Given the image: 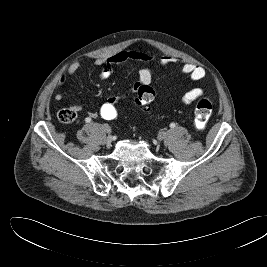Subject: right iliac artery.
I'll list each match as a JSON object with an SVG mask.
<instances>
[{
  "instance_id": "1",
  "label": "right iliac artery",
  "mask_w": 267,
  "mask_h": 267,
  "mask_svg": "<svg viewBox=\"0 0 267 267\" xmlns=\"http://www.w3.org/2000/svg\"><path fill=\"white\" fill-rule=\"evenodd\" d=\"M91 121V118H86V122H90ZM110 132H111V129H110Z\"/></svg>"
}]
</instances>
